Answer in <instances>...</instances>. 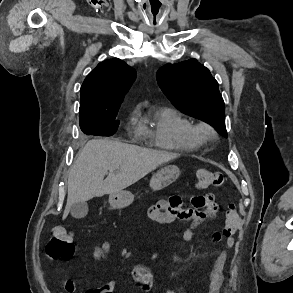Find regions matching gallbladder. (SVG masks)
<instances>
[{
	"label": "gallbladder",
	"mask_w": 293,
	"mask_h": 293,
	"mask_svg": "<svg viewBox=\"0 0 293 293\" xmlns=\"http://www.w3.org/2000/svg\"><path fill=\"white\" fill-rule=\"evenodd\" d=\"M71 215L74 218L81 219L84 218L88 213V204L86 202L74 203L71 206Z\"/></svg>",
	"instance_id": "bac80fb5"
}]
</instances>
